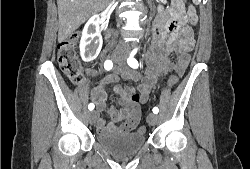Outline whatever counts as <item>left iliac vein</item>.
Returning <instances> with one entry per match:
<instances>
[{"mask_svg": "<svg viewBox=\"0 0 250 169\" xmlns=\"http://www.w3.org/2000/svg\"><path fill=\"white\" fill-rule=\"evenodd\" d=\"M120 65L122 66L123 69L127 70V66L125 65L124 62H121ZM127 74V72H125ZM147 121L150 125H155L158 121V116L155 113H150L147 117Z\"/></svg>", "mask_w": 250, "mask_h": 169, "instance_id": "1", "label": "left iliac vein"}]
</instances>
